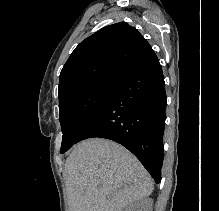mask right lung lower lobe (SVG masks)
Instances as JSON below:
<instances>
[{"label": "right lung lower lobe", "mask_w": 219, "mask_h": 211, "mask_svg": "<svg viewBox=\"0 0 219 211\" xmlns=\"http://www.w3.org/2000/svg\"><path fill=\"white\" fill-rule=\"evenodd\" d=\"M166 100L162 68L156 59L116 85L76 143L94 137L113 140L131 151L158 184L163 164Z\"/></svg>", "instance_id": "1"}]
</instances>
